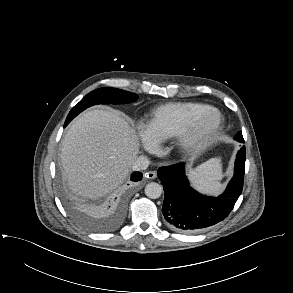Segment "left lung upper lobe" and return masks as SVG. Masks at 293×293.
<instances>
[{
	"label": "left lung upper lobe",
	"instance_id": "5c2ea615",
	"mask_svg": "<svg viewBox=\"0 0 293 293\" xmlns=\"http://www.w3.org/2000/svg\"><path fill=\"white\" fill-rule=\"evenodd\" d=\"M235 140L239 141V142H244L243 136H242V132H238L235 136Z\"/></svg>",
	"mask_w": 293,
	"mask_h": 293
}]
</instances>
